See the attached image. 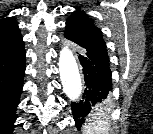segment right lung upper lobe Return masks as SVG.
<instances>
[{
	"label": "right lung upper lobe",
	"instance_id": "right-lung-upper-lobe-1",
	"mask_svg": "<svg viewBox=\"0 0 153 134\" xmlns=\"http://www.w3.org/2000/svg\"><path fill=\"white\" fill-rule=\"evenodd\" d=\"M22 41L17 22L11 17L0 20V52Z\"/></svg>",
	"mask_w": 153,
	"mask_h": 134
}]
</instances>
